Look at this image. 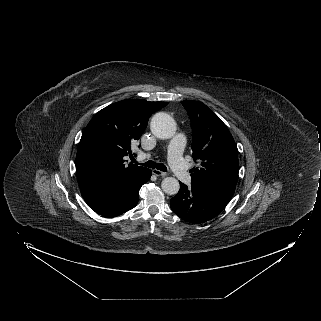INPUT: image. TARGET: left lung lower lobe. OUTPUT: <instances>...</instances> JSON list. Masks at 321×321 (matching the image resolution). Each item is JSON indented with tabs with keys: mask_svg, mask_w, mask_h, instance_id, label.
Instances as JSON below:
<instances>
[{
	"mask_svg": "<svg viewBox=\"0 0 321 321\" xmlns=\"http://www.w3.org/2000/svg\"><path fill=\"white\" fill-rule=\"evenodd\" d=\"M234 185L191 182V187L180 182L178 194L171 199V209L183 220L199 224L217 216L231 200Z\"/></svg>",
	"mask_w": 321,
	"mask_h": 321,
	"instance_id": "1",
	"label": "left lung lower lobe"
}]
</instances>
